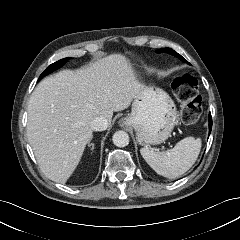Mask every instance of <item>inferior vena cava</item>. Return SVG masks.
<instances>
[{
    "mask_svg": "<svg viewBox=\"0 0 240 240\" xmlns=\"http://www.w3.org/2000/svg\"><path fill=\"white\" fill-rule=\"evenodd\" d=\"M90 127L93 131H103L107 129L108 121L103 116H97L91 121Z\"/></svg>",
    "mask_w": 240,
    "mask_h": 240,
    "instance_id": "obj_1",
    "label": "inferior vena cava"
}]
</instances>
